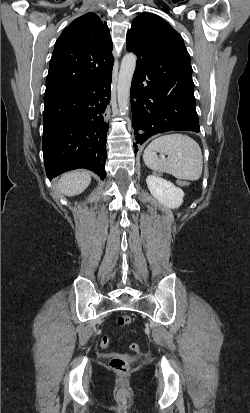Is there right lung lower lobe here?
I'll use <instances>...</instances> for the list:
<instances>
[{
    "label": "right lung lower lobe",
    "mask_w": 250,
    "mask_h": 413,
    "mask_svg": "<svg viewBox=\"0 0 250 413\" xmlns=\"http://www.w3.org/2000/svg\"><path fill=\"white\" fill-rule=\"evenodd\" d=\"M111 78L112 70L89 84L45 94L43 156L49 179L77 168L106 177Z\"/></svg>",
    "instance_id": "1"
}]
</instances>
